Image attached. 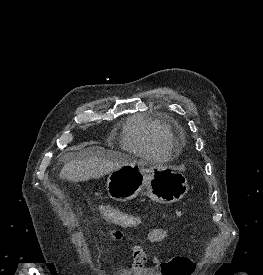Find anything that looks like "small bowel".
<instances>
[{
  "label": "small bowel",
  "instance_id": "small-bowel-1",
  "mask_svg": "<svg viewBox=\"0 0 263 275\" xmlns=\"http://www.w3.org/2000/svg\"><path fill=\"white\" fill-rule=\"evenodd\" d=\"M120 233V234H118ZM118 234V235H117ZM111 235L117 239H123L124 235L122 232L118 231H112ZM167 236V231L163 228H154L147 232L146 238L151 243H157L165 239ZM132 257L133 261L131 264V268L135 275H141L142 269L147 262L148 255L147 252L144 250V248L138 244H133L132 246ZM168 262L160 260L156 255H152V263L161 269V272L163 275H166L167 269H168ZM194 269V265L192 264L190 269L187 270L184 274L185 275H191Z\"/></svg>",
  "mask_w": 263,
  "mask_h": 275
}]
</instances>
